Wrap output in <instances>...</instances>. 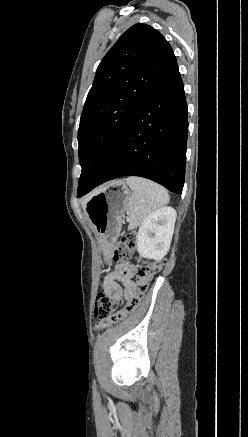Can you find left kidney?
I'll use <instances>...</instances> for the list:
<instances>
[{
    "mask_svg": "<svg viewBox=\"0 0 248 437\" xmlns=\"http://www.w3.org/2000/svg\"><path fill=\"white\" fill-rule=\"evenodd\" d=\"M176 211L171 207L151 213L139 228L137 249L141 257L160 261L170 248Z\"/></svg>",
    "mask_w": 248,
    "mask_h": 437,
    "instance_id": "1",
    "label": "left kidney"
}]
</instances>
